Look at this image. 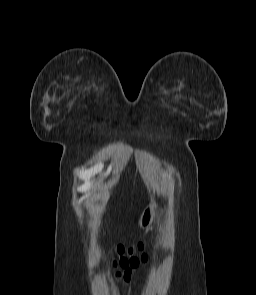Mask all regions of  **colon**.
I'll list each match as a JSON object with an SVG mask.
<instances>
[{
	"instance_id": "1",
	"label": "colon",
	"mask_w": 256,
	"mask_h": 295,
	"mask_svg": "<svg viewBox=\"0 0 256 295\" xmlns=\"http://www.w3.org/2000/svg\"><path fill=\"white\" fill-rule=\"evenodd\" d=\"M144 245L138 243L134 246H117L114 250L115 259L114 265L120 266H138L141 263H144L148 256L143 252Z\"/></svg>"
}]
</instances>
